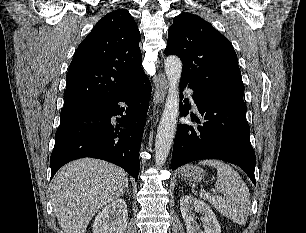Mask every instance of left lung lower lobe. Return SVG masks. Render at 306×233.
I'll return each mask as SVG.
<instances>
[{"label": "left lung lower lobe", "instance_id": "obj_1", "mask_svg": "<svg viewBox=\"0 0 306 233\" xmlns=\"http://www.w3.org/2000/svg\"><path fill=\"white\" fill-rule=\"evenodd\" d=\"M181 85L182 88L188 85L194 90L192 98L206 121L197 128L179 125L174 141L172 170L196 160L220 159L238 165L256 185V157L250 143L244 100L226 94L202 93L182 80ZM180 97L183 98V95L180 94ZM190 106L180 103L183 116L188 114ZM195 121L200 123L197 118Z\"/></svg>", "mask_w": 306, "mask_h": 233}]
</instances>
